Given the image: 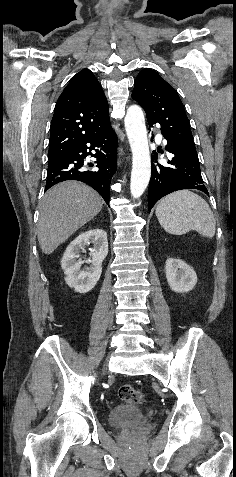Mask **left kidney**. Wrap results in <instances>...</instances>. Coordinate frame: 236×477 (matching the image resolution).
Instances as JSON below:
<instances>
[{
  "instance_id": "1",
  "label": "left kidney",
  "mask_w": 236,
  "mask_h": 477,
  "mask_svg": "<svg viewBox=\"0 0 236 477\" xmlns=\"http://www.w3.org/2000/svg\"><path fill=\"white\" fill-rule=\"evenodd\" d=\"M165 270L167 282L174 292H189L197 283V275L193 268L180 259L168 258Z\"/></svg>"
}]
</instances>
